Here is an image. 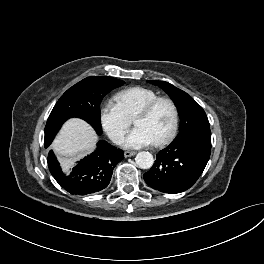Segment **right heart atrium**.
I'll return each instance as SVG.
<instances>
[{
    "instance_id": "right-heart-atrium-1",
    "label": "right heart atrium",
    "mask_w": 264,
    "mask_h": 264,
    "mask_svg": "<svg viewBox=\"0 0 264 264\" xmlns=\"http://www.w3.org/2000/svg\"><path fill=\"white\" fill-rule=\"evenodd\" d=\"M99 121L105 133L115 143L122 141L131 125L130 118L127 117L118 103L112 100H107L101 105Z\"/></svg>"
}]
</instances>
